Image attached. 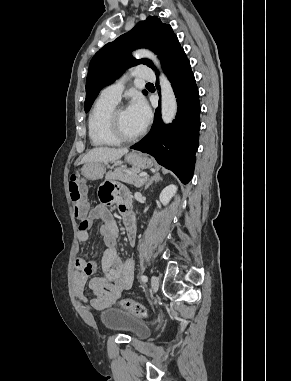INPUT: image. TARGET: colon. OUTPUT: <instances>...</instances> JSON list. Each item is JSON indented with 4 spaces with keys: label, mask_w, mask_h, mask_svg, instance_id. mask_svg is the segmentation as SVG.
<instances>
[{
    "label": "colon",
    "mask_w": 291,
    "mask_h": 381,
    "mask_svg": "<svg viewBox=\"0 0 291 381\" xmlns=\"http://www.w3.org/2000/svg\"><path fill=\"white\" fill-rule=\"evenodd\" d=\"M69 192L75 216L79 218L86 217L89 203L85 196V189L76 175H73L69 181ZM101 198L103 201L106 200L105 196ZM120 306L140 318H147L149 316L146 307L134 300L124 299L121 301Z\"/></svg>",
    "instance_id": "obj_1"
}]
</instances>
